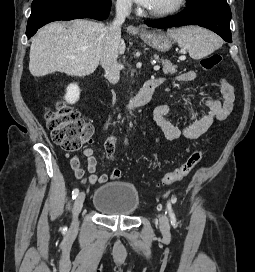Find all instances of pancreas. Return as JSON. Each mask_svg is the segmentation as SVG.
<instances>
[{
  "instance_id": "cf45deb5",
  "label": "pancreas",
  "mask_w": 255,
  "mask_h": 272,
  "mask_svg": "<svg viewBox=\"0 0 255 272\" xmlns=\"http://www.w3.org/2000/svg\"><path fill=\"white\" fill-rule=\"evenodd\" d=\"M156 58H158V56H156ZM161 63L163 65V73L164 74H175L177 72L176 70V66L173 65L169 60L167 59H161Z\"/></svg>"
}]
</instances>
